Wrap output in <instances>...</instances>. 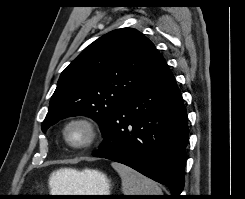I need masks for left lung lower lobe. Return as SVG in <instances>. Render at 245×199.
Segmentation results:
<instances>
[{"instance_id":"1","label":"left lung lower lobe","mask_w":245,"mask_h":199,"mask_svg":"<svg viewBox=\"0 0 245 199\" xmlns=\"http://www.w3.org/2000/svg\"><path fill=\"white\" fill-rule=\"evenodd\" d=\"M95 157L125 164L166 185L172 199L184 187L187 112L163 59L153 75L110 116Z\"/></svg>"}]
</instances>
